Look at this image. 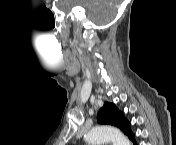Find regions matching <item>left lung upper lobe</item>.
Listing matches in <instances>:
<instances>
[{
  "label": "left lung upper lobe",
  "mask_w": 176,
  "mask_h": 145,
  "mask_svg": "<svg viewBox=\"0 0 176 145\" xmlns=\"http://www.w3.org/2000/svg\"><path fill=\"white\" fill-rule=\"evenodd\" d=\"M97 121L100 124H109L120 128L130 139L134 136L130 130V123L112 103L105 102L98 112Z\"/></svg>",
  "instance_id": "5c2ea615"
}]
</instances>
